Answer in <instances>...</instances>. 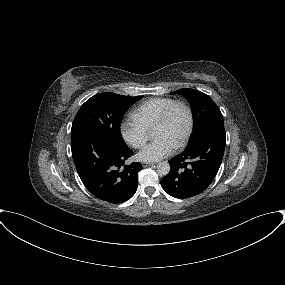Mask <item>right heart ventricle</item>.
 Listing matches in <instances>:
<instances>
[{"label":"right heart ventricle","instance_id":"obj_1","mask_svg":"<svg viewBox=\"0 0 285 285\" xmlns=\"http://www.w3.org/2000/svg\"><path fill=\"white\" fill-rule=\"evenodd\" d=\"M172 98H151L140 103L134 111V115L148 128L154 127L162 113L175 102Z\"/></svg>","mask_w":285,"mask_h":285}]
</instances>
